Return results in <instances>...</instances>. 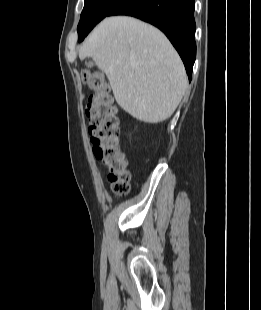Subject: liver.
Listing matches in <instances>:
<instances>
[{"label":"liver","mask_w":261,"mask_h":310,"mask_svg":"<svg viewBox=\"0 0 261 310\" xmlns=\"http://www.w3.org/2000/svg\"><path fill=\"white\" fill-rule=\"evenodd\" d=\"M110 83L118 105L146 123L168 119L185 94L184 65L157 28L128 16L104 19L79 50Z\"/></svg>","instance_id":"liver-1"}]
</instances>
